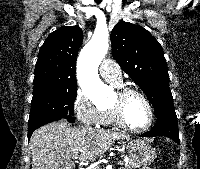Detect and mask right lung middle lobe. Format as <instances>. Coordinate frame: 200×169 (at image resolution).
Listing matches in <instances>:
<instances>
[{"instance_id":"right-lung-middle-lobe-1","label":"right lung middle lobe","mask_w":200,"mask_h":169,"mask_svg":"<svg viewBox=\"0 0 200 169\" xmlns=\"http://www.w3.org/2000/svg\"><path fill=\"white\" fill-rule=\"evenodd\" d=\"M77 83L33 91L29 123L50 118H68L74 113Z\"/></svg>"}]
</instances>
